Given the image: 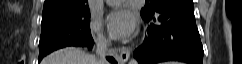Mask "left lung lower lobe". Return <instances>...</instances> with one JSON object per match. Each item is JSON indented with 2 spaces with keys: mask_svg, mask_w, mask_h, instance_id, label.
Listing matches in <instances>:
<instances>
[{
  "mask_svg": "<svg viewBox=\"0 0 242 64\" xmlns=\"http://www.w3.org/2000/svg\"><path fill=\"white\" fill-rule=\"evenodd\" d=\"M143 44L134 51L139 64L180 61L203 64V46L196 26L193 0H166L153 12Z\"/></svg>",
  "mask_w": 242,
  "mask_h": 64,
  "instance_id": "0a47b994",
  "label": "left lung lower lobe"
}]
</instances>
